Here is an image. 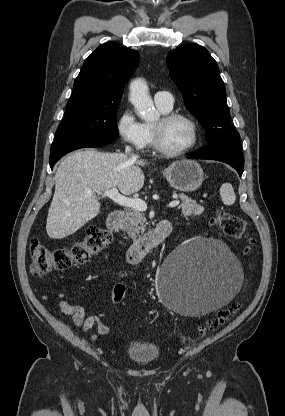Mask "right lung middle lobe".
I'll return each mask as SVG.
<instances>
[{
	"mask_svg": "<svg viewBox=\"0 0 285 416\" xmlns=\"http://www.w3.org/2000/svg\"><path fill=\"white\" fill-rule=\"evenodd\" d=\"M120 100L83 101L70 98L64 119L55 137L90 136L115 137L119 135L116 113Z\"/></svg>",
	"mask_w": 285,
	"mask_h": 416,
	"instance_id": "obj_1",
	"label": "right lung middle lobe"
}]
</instances>
